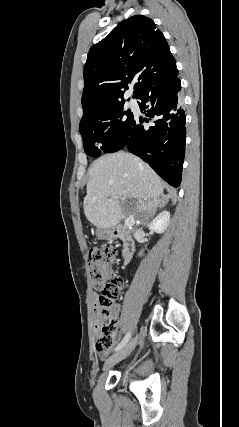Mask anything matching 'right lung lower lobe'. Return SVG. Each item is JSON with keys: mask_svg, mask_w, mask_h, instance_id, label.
Returning a JSON list of instances; mask_svg holds the SVG:
<instances>
[{"mask_svg": "<svg viewBox=\"0 0 239 427\" xmlns=\"http://www.w3.org/2000/svg\"><path fill=\"white\" fill-rule=\"evenodd\" d=\"M177 75L178 72L139 94L140 110L149 119L134 117L128 139L121 148L126 147L139 156L174 187L181 182L186 139V118ZM143 121L150 122V126L142 125Z\"/></svg>", "mask_w": 239, "mask_h": 427, "instance_id": "98d812e1", "label": "right lung lower lobe"}]
</instances>
